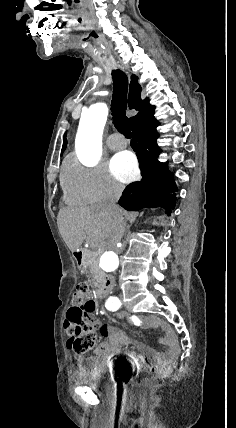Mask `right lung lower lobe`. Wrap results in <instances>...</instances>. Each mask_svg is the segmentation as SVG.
Returning a JSON list of instances; mask_svg holds the SVG:
<instances>
[{
  "label": "right lung lower lobe",
  "instance_id": "obj_1",
  "mask_svg": "<svg viewBox=\"0 0 236 428\" xmlns=\"http://www.w3.org/2000/svg\"><path fill=\"white\" fill-rule=\"evenodd\" d=\"M153 115L154 112L131 127L132 147L140 162L143 179L125 188L119 205L130 211L161 207L170 215L175 207L176 198L173 193L177 188L166 164L157 160L160 149L156 143L159 136L156 127L159 123Z\"/></svg>",
  "mask_w": 236,
  "mask_h": 428
}]
</instances>
